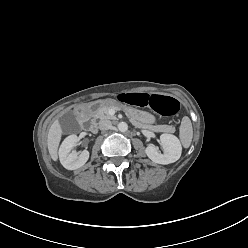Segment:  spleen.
<instances>
[{"instance_id":"3e777b00","label":"spleen","mask_w":248,"mask_h":248,"mask_svg":"<svg viewBox=\"0 0 248 248\" xmlns=\"http://www.w3.org/2000/svg\"><path fill=\"white\" fill-rule=\"evenodd\" d=\"M179 138L184 148L191 145L193 138V128L191 120L188 116H184L180 125Z\"/></svg>"}]
</instances>
